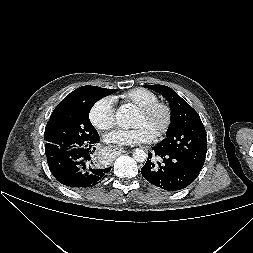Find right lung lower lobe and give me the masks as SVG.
I'll return each mask as SVG.
<instances>
[{
	"label": "right lung lower lobe",
	"mask_w": 253,
	"mask_h": 253,
	"mask_svg": "<svg viewBox=\"0 0 253 253\" xmlns=\"http://www.w3.org/2000/svg\"><path fill=\"white\" fill-rule=\"evenodd\" d=\"M99 141L96 134L87 147L74 148L55 156H47V162L53 176L61 184L70 188H89L100 183L111 167H106L96 160L95 146Z\"/></svg>",
	"instance_id": "obj_1"
}]
</instances>
